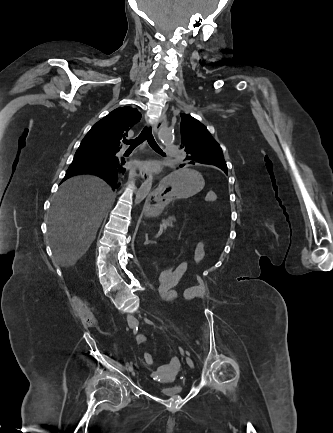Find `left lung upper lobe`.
<instances>
[{
  "label": "left lung upper lobe",
  "mask_w": 333,
  "mask_h": 433,
  "mask_svg": "<svg viewBox=\"0 0 333 433\" xmlns=\"http://www.w3.org/2000/svg\"><path fill=\"white\" fill-rule=\"evenodd\" d=\"M181 148L186 152L185 163L208 164L219 167L227 174L222 149L207 128L189 114H181Z\"/></svg>",
  "instance_id": "1"
}]
</instances>
